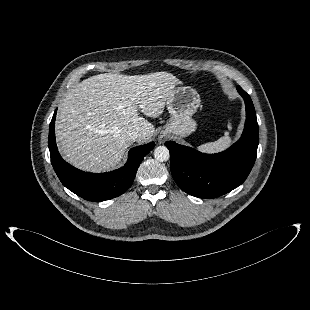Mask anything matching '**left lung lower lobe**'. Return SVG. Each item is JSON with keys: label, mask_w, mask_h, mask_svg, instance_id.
I'll list each match as a JSON object with an SVG mask.
<instances>
[{"label": "left lung lower lobe", "mask_w": 310, "mask_h": 310, "mask_svg": "<svg viewBox=\"0 0 310 310\" xmlns=\"http://www.w3.org/2000/svg\"><path fill=\"white\" fill-rule=\"evenodd\" d=\"M246 105V123L241 138L229 149L204 154L173 141L165 142L170 152L171 173L186 193L199 198H216L242 184L249 175L259 143L256 112L250 96L240 87Z\"/></svg>", "instance_id": "left-lung-lower-lobe-1"}]
</instances>
